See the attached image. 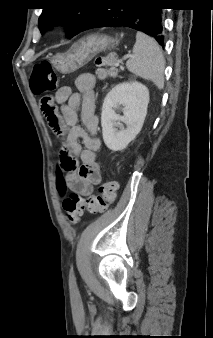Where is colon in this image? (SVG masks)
Masks as SVG:
<instances>
[{"mask_svg": "<svg viewBox=\"0 0 213 338\" xmlns=\"http://www.w3.org/2000/svg\"><path fill=\"white\" fill-rule=\"evenodd\" d=\"M116 52L108 49L104 55L96 58L97 75L105 78L115 73ZM30 87L34 94L43 95L54 92L59 87V80L49 62H38L35 64L33 73L30 77ZM41 109L49 125L53 129L57 139L63 140L64 131L59 125V119L55 114V107L49 100H43ZM63 161L61 167L64 171L70 172L77 168V162L70 156L67 148L62 147L59 151ZM118 191V184L114 181H106L98 188L97 193L81 197L71 193L63 200V208L67 220L71 224H77L85 211L91 214L104 213L109 204L112 203Z\"/></svg>", "mask_w": 213, "mask_h": 338, "instance_id": "1", "label": "colon"}]
</instances>
